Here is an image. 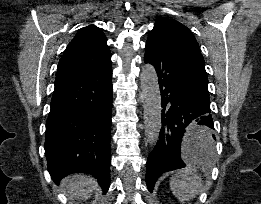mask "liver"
Instances as JSON below:
<instances>
[{"label": "liver", "instance_id": "liver-1", "mask_svg": "<svg viewBox=\"0 0 261 204\" xmlns=\"http://www.w3.org/2000/svg\"><path fill=\"white\" fill-rule=\"evenodd\" d=\"M64 187L72 197L87 199L96 189V180L88 175L75 174L63 181Z\"/></svg>", "mask_w": 261, "mask_h": 204}]
</instances>
